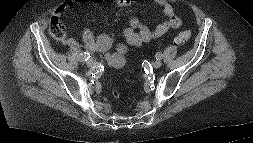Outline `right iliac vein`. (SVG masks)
Masks as SVG:
<instances>
[{
    "label": "right iliac vein",
    "instance_id": "63e3f726",
    "mask_svg": "<svg viewBox=\"0 0 253 143\" xmlns=\"http://www.w3.org/2000/svg\"><path fill=\"white\" fill-rule=\"evenodd\" d=\"M94 60L93 59H88L86 64L89 66V67H92L94 65Z\"/></svg>",
    "mask_w": 253,
    "mask_h": 143
}]
</instances>
